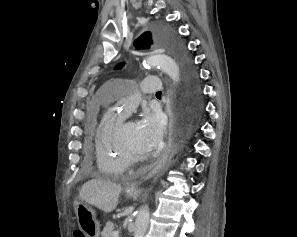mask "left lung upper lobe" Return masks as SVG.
<instances>
[{"label": "left lung upper lobe", "mask_w": 297, "mask_h": 237, "mask_svg": "<svg viewBox=\"0 0 297 237\" xmlns=\"http://www.w3.org/2000/svg\"><path fill=\"white\" fill-rule=\"evenodd\" d=\"M153 35L151 32H145L138 39L135 40L134 45L141 48H149L153 44ZM154 38L157 43L161 42L169 46V48L181 59L183 66L184 82H185V96L190 97L199 105L200 103V87L197 74L186 56L185 48L177 39L175 33L163 26H157L154 32ZM123 67L119 64L116 68Z\"/></svg>", "instance_id": "obj_1"}]
</instances>
